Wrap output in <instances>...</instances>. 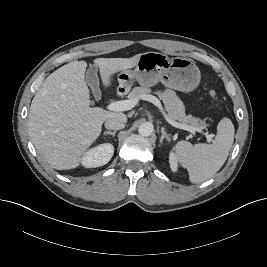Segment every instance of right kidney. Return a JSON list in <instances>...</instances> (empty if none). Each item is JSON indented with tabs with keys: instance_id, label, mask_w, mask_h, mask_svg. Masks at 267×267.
I'll return each instance as SVG.
<instances>
[{
	"instance_id": "right-kidney-1",
	"label": "right kidney",
	"mask_w": 267,
	"mask_h": 267,
	"mask_svg": "<svg viewBox=\"0 0 267 267\" xmlns=\"http://www.w3.org/2000/svg\"><path fill=\"white\" fill-rule=\"evenodd\" d=\"M114 153V146L110 143L100 144L88 151L82 157V165L95 168L107 164Z\"/></svg>"
}]
</instances>
